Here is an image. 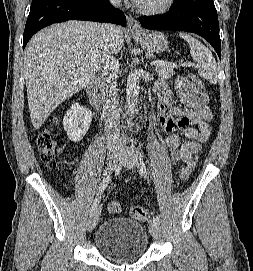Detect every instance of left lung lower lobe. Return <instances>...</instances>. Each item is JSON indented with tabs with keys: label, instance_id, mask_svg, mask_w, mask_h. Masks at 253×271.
<instances>
[{
	"label": "left lung lower lobe",
	"instance_id": "left-lung-lower-lobe-1",
	"mask_svg": "<svg viewBox=\"0 0 253 271\" xmlns=\"http://www.w3.org/2000/svg\"><path fill=\"white\" fill-rule=\"evenodd\" d=\"M150 30H180L205 38L221 59L219 22L213 0H174L171 10L160 16L140 17Z\"/></svg>",
	"mask_w": 253,
	"mask_h": 271
}]
</instances>
